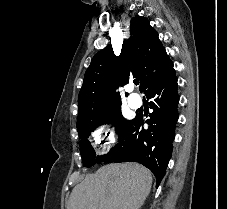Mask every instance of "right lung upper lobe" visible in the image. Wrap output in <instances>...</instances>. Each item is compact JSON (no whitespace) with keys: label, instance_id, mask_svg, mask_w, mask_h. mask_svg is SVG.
<instances>
[{"label":"right lung upper lobe","instance_id":"cb5924a9","mask_svg":"<svg viewBox=\"0 0 227 209\" xmlns=\"http://www.w3.org/2000/svg\"><path fill=\"white\" fill-rule=\"evenodd\" d=\"M130 30L133 36L123 42L120 56L108 45L91 60L78 96V118L100 114L108 99L120 98L114 93L116 87L132 78H139L145 91L159 70L171 62L146 18H132Z\"/></svg>","mask_w":227,"mask_h":209}]
</instances>
